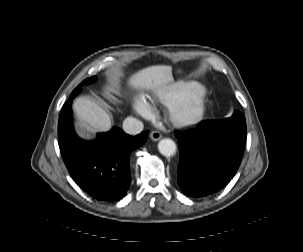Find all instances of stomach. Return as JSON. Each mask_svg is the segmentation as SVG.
<instances>
[{
    "mask_svg": "<svg viewBox=\"0 0 303 252\" xmlns=\"http://www.w3.org/2000/svg\"><path fill=\"white\" fill-rule=\"evenodd\" d=\"M175 74L178 79H181L184 77L185 71L183 69H178V70H176Z\"/></svg>",
    "mask_w": 303,
    "mask_h": 252,
    "instance_id": "stomach-1",
    "label": "stomach"
}]
</instances>
